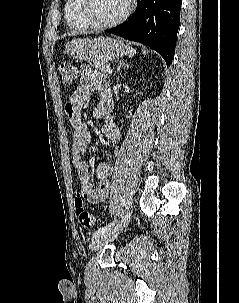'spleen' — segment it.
Listing matches in <instances>:
<instances>
[{
    "label": "spleen",
    "mask_w": 239,
    "mask_h": 303,
    "mask_svg": "<svg viewBox=\"0 0 239 303\" xmlns=\"http://www.w3.org/2000/svg\"><path fill=\"white\" fill-rule=\"evenodd\" d=\"M126 54H128L129 56L133 57L136 54V50L132 47H126Z\"/></svg>",
    "instance_id": "1"
}]
</instances>
